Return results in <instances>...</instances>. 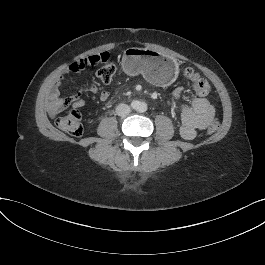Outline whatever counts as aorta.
I'll list each match as a JSON object with an SVG mask.
<instances>
[{
  "label": "aorta",
  "mask_w": 265,
  "mask_h": 265,
  "mask_svg": "<svg viewBox=\"0 0 265 265\" xmlns=\"http://www.w3.org/2000/svg\"><path fill=\"white\" fill-rule=\"evenodd\" d=\"M134 109L138 112H145L147 110V104L144 102L137 101L134 104Z\"/></svg>",
  "instance_id": "762f6f07"
}]
</instances>
